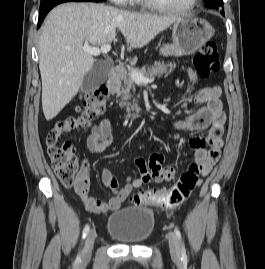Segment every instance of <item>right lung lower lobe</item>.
<instances>
[{
    "label": "right lung lower lobe",
    "mask_w": 265,
    "mask_h": 269,
    "mask_svg": "<svg viewBox=\"0 0 265 269\" xmlns=\"http://www.w3.org/2000/svg\"><path fill=\"white\" fill-rule=\"evenodd\" d=\"M105 0H41L38 28L47 13L56 5L64 2H103Z\"/></svg>",
    "instance_id": "obj_1"
}]
</instances>
